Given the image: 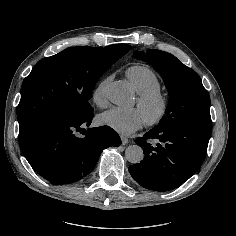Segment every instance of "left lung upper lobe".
<instances>
[{"instance_id": "1", "label": "left lung upper lobe", "mask_w": 236, "mask_h": 236, "mask_svg": "<svg viewBox=\"0 0 236 236\" xmlns=\"http://www.w3.org/2000/svg\"><path fill=\"white\" fill-rule=\"evenodd\" d=\"M136 59L150 63L161 73L169 90L166 115L155 128L180 125L211 127L210 97L198 74L175 56L160 50L133 54Z\"/></svg>"}]
</instances>
